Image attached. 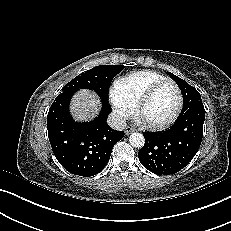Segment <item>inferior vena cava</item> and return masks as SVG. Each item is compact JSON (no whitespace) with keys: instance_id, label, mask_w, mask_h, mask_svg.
<instances>
[{"instance_id":"1","label":"inferior vena cava","mask_w":231,"mask_h":231,"mask_svg":"<svg viewBox=\"0 0 231 231\" xmlns=\"http://www.w3.org/2000/svg\"><path fill=\"white\" fill-rule=\"evenodd\" d=\"M107 123L111 128L118 131L124 130L127 125L126 119L115 112L109 115Z\"/></svg>"}]
</instances>
